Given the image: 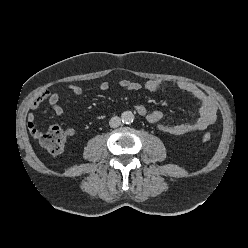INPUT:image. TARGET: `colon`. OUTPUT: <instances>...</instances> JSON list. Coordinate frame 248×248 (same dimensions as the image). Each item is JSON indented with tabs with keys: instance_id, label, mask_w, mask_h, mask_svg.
Wrapping results in <instances>:
<instances>
[{
	"instance_id": "1",
	"label": "colon",
	"mask_w": 248,
	"mask_h": 248,
	"mask_svg": "<svg viewBox=\"0 0 248 248\" xmlns=\"http://www.w3.org/2000/svg\"><path fill=\"white\" fill-rule=\"evenodd\" d=\"M203 141L211 139L210 133L203 134ZM39 141L41 145L51 154H59L63 151L66 142V136L58 125H50L45 132H40Z\"/></svg>"
}]
</instances>
